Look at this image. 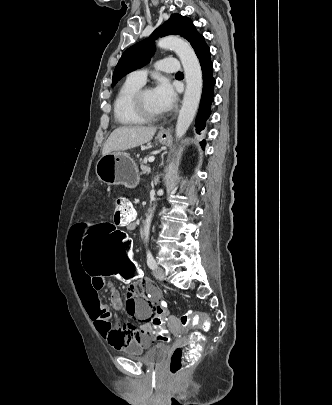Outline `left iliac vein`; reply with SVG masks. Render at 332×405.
Instances as JSON below:
<instances>
[{"mask_svg": "<svg viewBox=\"0 0 332 405\" xmlns=\"http://www.w3.org/2000/svg\"><path fill=\"white\" fill-rule=\"evenodd\" d=\"M153 275L158 280H164L165 278L164 270L158 266L153 270Z\"/></svg>", "mask_w": 332, "mask_h": 405, "instance_id": "obj_1", "label": "left iliac vein"}]
</instances>
